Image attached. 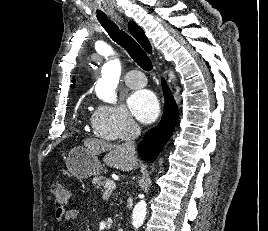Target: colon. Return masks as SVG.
Listing matches in <instances>:
<instances>
[{
  "mask_svg": "<svg viewBox=\"0 0 268 231\" xmlns=\"http://www.w3.org/2000/svg\"><path fill=\"white\" fill-rule=\"evenodd\" d=\"M54 202L60 207H66L70 199V191L60 183H53L50 187Z\"/></svg>",
  "mask_w": 268,
  "mask_h": 231,
  "instance_id": "1",
  "label": "colon"
}]
</instances>
